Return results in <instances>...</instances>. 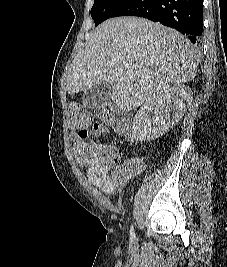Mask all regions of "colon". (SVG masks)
I'll use <instances>...</instances> for the list:
<instances>
[{
	"label": "colon",
	"instance_id": "obj_1",
	"mask_svg": "<svg viewBox=\"0 0 227 267\" xmlns=\"http://www.w3.org/2000/svg\"><path fill=\"white\" fill-rule=\"evenodd\" d=\"M99 118L107 125L115 123L114 106L106 105L96 111ZM68 118L72 127L83 128L90 122L89 112L79 103H70L68 106Z\"/></svg>",
	"mask_w": 227,
	"mask_h": 267
}]
</instances>
